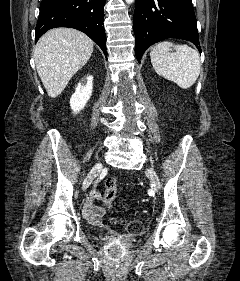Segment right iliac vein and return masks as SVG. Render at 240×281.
I'll return each instance as SVG.
<instances>
[{"label": "right iliac vein", "mask_w": 240, "mask_h": 281, "mask_svg": "<svg viewBox=\"0 0 240 281\" xmlns=\"http://www.w3.org/2000/svg\"><path fill=\"white\" fill-rule=\"evenodd\" d=\"M102 168V164L101 163H98L96 164L92 170L90 171V173L88 174V176L86 177V179L84 180V183H83V187L82 189L83 190H86L89 185L92 183V181L94 180V178L98 175V173L100 172Z\"/></svg>", "instance_id": "obj_1"}]
</instances>
